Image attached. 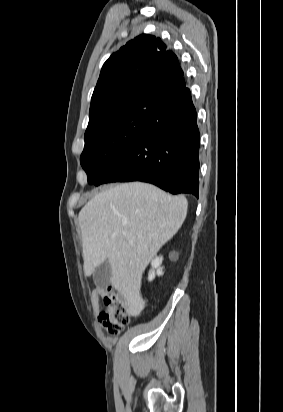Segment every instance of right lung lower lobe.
Instances as JSON below:
<instances>
[{
  "instance_id": "1",
  "label": "right lung lower lobe",
  "mask_w": 283,
  "mask_h": 412,
  "mask_svg": "<svg viewBox=\"0 0 283 412\" xmlns=\"http://www.w3.org/2000/svg\"><path fill=\"white\" fill-rule=\"evenodd\" d=\"M197 114L190 90L177 92L122 157L93 184L142 181L198 197Z\"/></svg>"
}]
</instances>
